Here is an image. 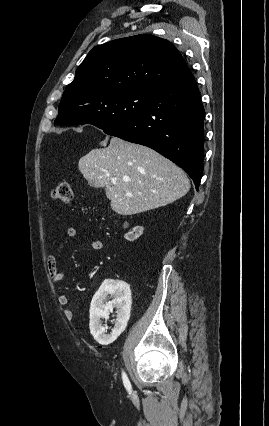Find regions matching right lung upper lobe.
Returning a JSON list of instances; mask_svg holds the SVG:
<instances>
[{
    "mask_svg": "<svg viewBox=\"0 0 269 426\" xmlns=\"http://www.w3.org/2000/svg\"><path fill=\"white\" fill-rule=\"evenodd\" d=\"M191 71L168 40L141 34L94 47L77 68L63 97L90 98L105 93L157 88L183 78Z\"/></svg>",
    "mask_w": 269,
    "mask_h": 426,
    "instance_id": "1",
    "label": "right lung upper lobe"
}]
</instances>
